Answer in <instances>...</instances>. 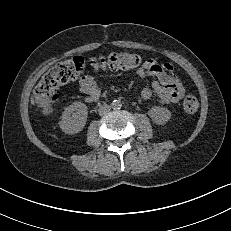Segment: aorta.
<instances>
[{
	"instance_id": "762f6f07",
	"label": "aorta",
	"mask_w": 231,
	"mask_h": 231,
	"mask_svg": "<svg viewBox=\"0 0 231 231\" xmlns=\"http://www.w3.org/2000/svg\"><path fill=\"white\" fill-rule=\"evenodd\" d=\"M122 106L121 102L119 100H114L111 104V107L115 110L120 109Z\"/></svg>"
}]
</instances>
